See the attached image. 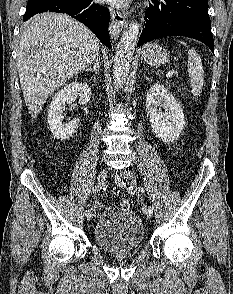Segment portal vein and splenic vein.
<instances>
[{"label":"portal vein and splenic vein","instance_id":"obj_1","mask_svg":"<svg viewBox=\"0 0 233 294\" xmlns=\"http://www.w3.org/2000/svg\"><path fill=\"white\" fill-rule=\"evenodd\" d=\"M174 75H175V73L171 70L166 74V77L170 78V77H173ZM176 76H178V75H176Z\"/></svg>","mask_w":233,"mask_h":294}]
</instances>
